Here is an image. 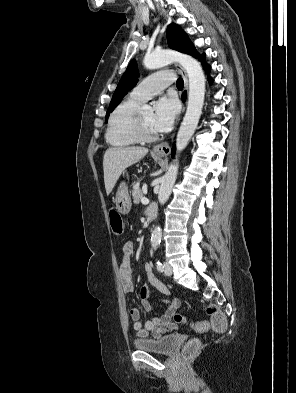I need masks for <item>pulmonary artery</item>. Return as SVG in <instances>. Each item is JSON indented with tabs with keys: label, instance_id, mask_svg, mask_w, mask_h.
<instances>
[{
	"label": "pulmonary artery",
	"instance_id": "pulmonary-artery-1",
	"mask_svg": "<svg viewBox=\"0 0 296 393\" xmlns=\"http://www.w3.org/2000/svg\"><path fill=\"white\" fill-rule=\"evenodd\" d=\"M175 80L171 71H162L149 75L143 79L130 93V98L139 103L150 99L161 92Z\"/></svg>",
	"mask_w": 296,
	"mask_h": 393
}]
</instances>
